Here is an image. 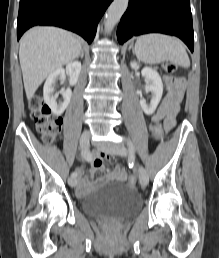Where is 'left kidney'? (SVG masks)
<instances>
[{
  "mask_svg": "<svg viewBox=\"0 0 219 258\" xmlns=\"http://www.w3.org/2000/svg\"><path fill=\"white\" fill-rule=\"evenodd\" d=\"M131 68L137 70L139 69V65L133 61L131 62ZM142 75L148 82L146 90L152 93V98L150 103H146L145 99L141 98L140 106L146 115H152L162 98L163 83L158 72L150 67H144L142 69Z\"/></svg>",
  "mask_w": 219,
  "mask_h": 258,
  "instance_id": "1",
  "label": "left kidney"
}]
</instances>
